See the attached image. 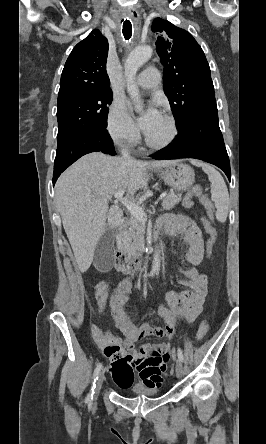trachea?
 <instances>
[{"label":"trachea","mask_w":266,"mask_h":444,"mask_svg":"<svg viewBox=\"0 0 266 444\" xmlns=\"http://www.w3.org/2000/svg\"><path fill=\"white\" fill-rule=\"evenodd\" d=\"M123 36L126 40H129L132 36V24L129 20H125L122 28Z\"/></svg>","instance_id":"trachea-1"}]
</instances>
